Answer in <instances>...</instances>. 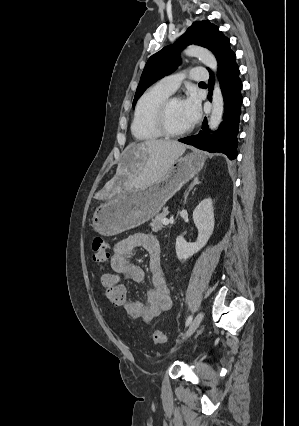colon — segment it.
Segmentation results:
<instances>
[{
  "label": "colon",
  "mask_w": 299,
  "mask_h": 426,
  "mask_svg": "<svg viewBox=\"0 0 299 426\" xmlns=\"http://www.w3.org/2000/svg\"><path fill=\"white\" fill-rule=\"evenodd\" d=\"M109 247V243L104 238L96 236L92 241V258L103 270L101 284L104 287L106 298L116 307H122L127 300V290L118 276L107 270ZM152 337L156 344L168 342V337L161 331H155Z\"/></svg>",
  "instance_id": "colon-1"
}]
</instances>
